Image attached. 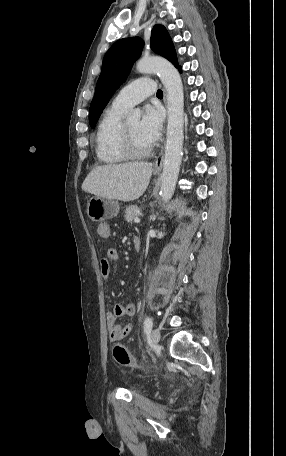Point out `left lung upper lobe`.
Listing matches in <instances>:
<instances>
[{
  "mask_svg": "<svg viewBox=\"0 0 286 456\" xmlns=\"http://www.w3.org/2000/svg\"><path fill=\"white\" fill-rule=\"evenodd\" d=\"M142 45L139 38H124L115 42L105 54L89 110V124L92 128L116 89L126 80L133 63L140 57ZM151 49L178 66L172 40L166 28L160 24L152 29Z\"/></svg>",
  "mask_w": 286,
  "mask_h": 456,
  "instance_id": "obj_1",
  "label": "left lung upper lobe"
}]
</instances>
